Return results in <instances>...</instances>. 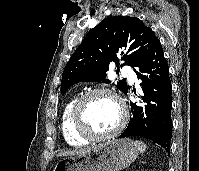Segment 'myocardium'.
<instances>
[{
	"mask_svg": "<svg viewBox=\"0 0 199 171\" xmlns=\"http://www.w3.org/2000/svg\"><path fill=\"white\" fill-rule=\"evenodd\" d=\"M101 94L108 95L116 101V103L118 104L120 108L121 118L118 125L113 130L107 133L98 134V133L93 132L88 126L86 116H85V107H86L87 101L91 97L96 96V95H101ZM128 117H129L128 107L124 99L117 92L106 87L94 88V89H90L84 92L82 95H80L76 99L72 108V113H71V119H72V125L74 128V131L78 135L91 141L106 140V139L117 136L118 134L122 132V130L126 126Z\"/></svg>",
	"mask_w": 199,
	"mask_h": 171,
	"instance_id": "f54148a6",
	"label": "myocardium"
}]
</instances>
